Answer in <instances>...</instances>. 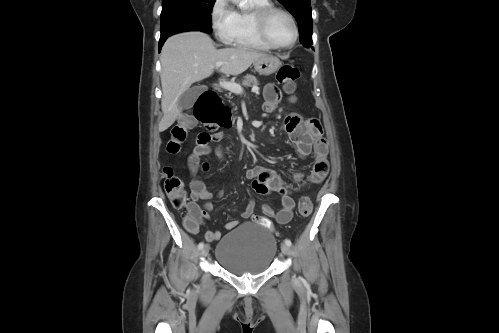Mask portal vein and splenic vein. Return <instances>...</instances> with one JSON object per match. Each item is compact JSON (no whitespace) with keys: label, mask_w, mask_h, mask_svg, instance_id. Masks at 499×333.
<instances>
[{"label":"portal vein and splenic vein","mask_w":499,"mask_h":333,"mask_svg":"<svg viewBox=\"0 0 499 333\" xmlns=\"http://www.w3.org/2000/svg\"><path fill=\"white\" fill-rule=\"evenodd\" d=\"M222 65H223L222 62H217L215 64V67L220 68ZM220 86L223 87L224 89H227V90H229V91H231L233 93H236V94H242L244 92V90L241 87V85H239L237 83L223 81V82H220ZM252 91L253 92H258V88H253Z\"/></svg>","instance_id":"portal-vein-and-splenic-vein-1"}]
</instances>
